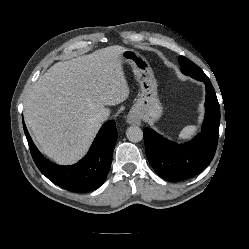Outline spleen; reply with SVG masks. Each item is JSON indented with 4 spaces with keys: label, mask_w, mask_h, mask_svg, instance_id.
<instances>
[{
    "label": "spleen",
    "mask_w": 249,
    "mask_h": 249,
    "mask_svg": "<svg viewBox=\"0 0 249 249\" xmlns=\"http://www.w3.org/2000/svg\"><path fill=\"white\" fill-rule=\"evenodd\" d=\"M197 131V127L193 125L186 126L180 132L179 138L180 139H189L191 138Z\"/></svg>",
    "instance_id": "1"
}]
</instances>
